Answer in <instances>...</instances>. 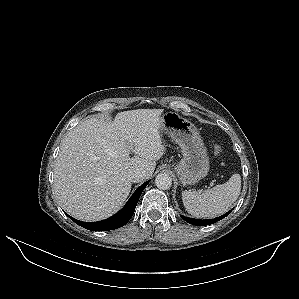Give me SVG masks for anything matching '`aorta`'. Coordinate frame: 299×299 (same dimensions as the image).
I'll return each mask as SVG.
<instances>
[{
	"label": "aorta",
	"mask_w": 299,
	"mask_h": 299,
	"mask_svg": "<svg viewBox=\"0 0 299 299\" xmlns=\"http://www.w3.org/2000/svg\"><path fill=\"white\" fill-rule=\"evenodd\" d=\"M155 184L159 189L168 190L172 185V178L166 173H160L155 178Z\"/></svg>",
	"instance_id": "1"
}]
</instances>
